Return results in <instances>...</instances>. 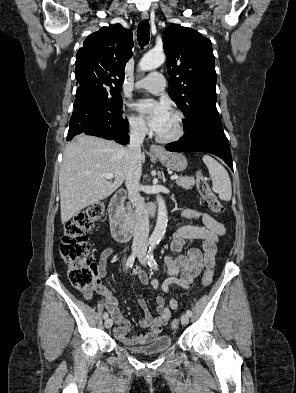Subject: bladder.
<instances>
[{
	"mask_svg": "<svg viewBox=\"0 0 296 393\" xmlns=\"http://www.w3.org/2000/svg\"><path fill=\"white\" fill-rule=\"evenodd\" d=\"M173 339L169 335H157L147 346L142 348L126 347L132 353L139 355H152L162 353L171 347Z\"/></svg>",
	"mask_w": 296,
	"mask_h": 393,
	"instance_id": "31cf9c89",
	"label": "bladder"
}]
</instances>
